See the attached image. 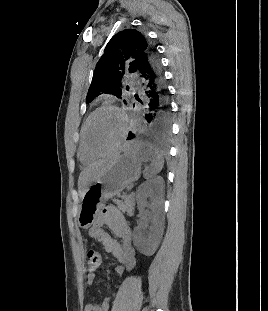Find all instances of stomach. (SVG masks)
Wrapping results in <instances>:
<instances>
[{
    "label": "stomach",
    "instance_id": "1",
    "mask_svg": "<svg viewBox=\"0 0 268 311\" xmlns=\"http://www.w3.org/2000/svg\"><path fill=\"white\" fill-rule=\"evenodd\" d=\"M147 146L126 147L116 156L106 170L94 180L82 195L78 208L77 222L80 228L88 229L95 221L104 202L118 195L141 174Z\"/></svg>",
    "mask_w": 268,
    "mask_h": 311
}]
</instances>
